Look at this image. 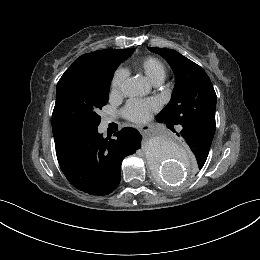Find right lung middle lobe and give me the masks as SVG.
Masks as SVG:
<instances>
[{"label": "right lung middle lobe", "instance_id": "obj_1", "mask_svg": "<svg viewBox=\"0 0 260 260\" xmlns=\"http://www.w3.org/2000/svg\"><path fill=\"white\" fill-rule=\"evenodd\" d=\"M134 49H125L66 71L56 90L52 114L54 138L98 127V112L108 102L109 87L116 68Z\"/></svg>", "mask_w": 260, "mask_h": 260}]
</instances>
